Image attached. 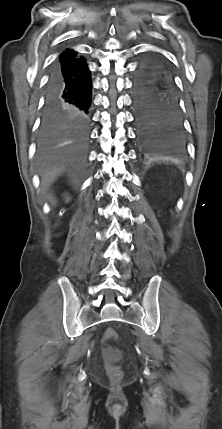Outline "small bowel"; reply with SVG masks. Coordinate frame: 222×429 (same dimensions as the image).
I'll return each instance as SVG.
<instances>
[{"instance_id":"small-bowel-1","label":"small bowel","mask_w":222,"mask_h":429,"mask_svg":"<svg viewBox=\"0 0 222 429\" xmlns=\"http://www.w3.org/2000/svg\"><path fill=\"white\" fill-rule=\"evenodd\" d=\"M105 354L110 355L111 353L109 352V349H105Z\"/></svg>"}]
</instances>
